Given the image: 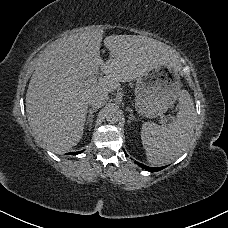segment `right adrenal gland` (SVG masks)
<instances>
[{"label":"right adrenal gland","instance_id":"obj_1","mask_svg":"<svg viewBox=\"0 0 228 228\" xmlns=\"http://www.w3.org/2000/svg\"><path fill=\"white\" fill-rule=\"evenodd\" d=\"M95 111H97V109H95ZM93 114H94V110H90V111L88 112V115H87L88 117H87V121H86L85 125H89V127L86 128V129H88V130H90L91 127H92V123H93Z\"/></svg>","mask_w":228,"mask_h":228}]
</instances>
